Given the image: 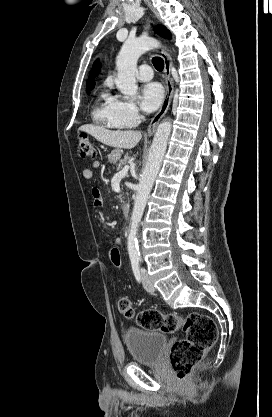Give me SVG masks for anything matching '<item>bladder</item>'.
Here are the masks:
<instances>
[{
  "label": "bladder",
  "instance_id": "31cf9c89",
  "mask_svg": "<svg viewBox=\"0 0 272 417\" xmlns=\"http://www.w3.org/2000/svg\"><path fill=\"white\" fill-rule=\"evenodd\" d=\"M167 338L164 334L129 328L124 333V343L134 362L153 365L160 362Z\"/></svg>",
  "mask_w": 272,
  "mask_h": 417
}]
</instances>
